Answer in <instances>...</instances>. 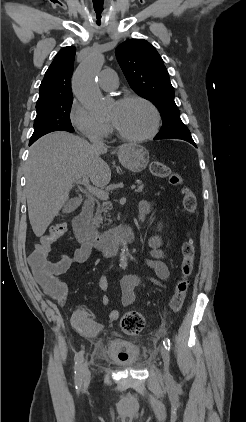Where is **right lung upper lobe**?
<instances>
[{
  "label": "right lung upper lobe",
  "instance_id": "cb5924a9",
  "mask_svg": "<svg viewBox=\"0 0 246 422\" xmlns=\"http://www.w3.org/2000/svg\"><path fill=\"white\" fill-rule=\"evenodd\" d=\"M75 47L61 49L45 73L40 85L36 108L46 106L63 98L73 97L71 76L73 73Z\"/></svg>",
  "mask_w": 246,
  "mask_h": 422
}]
</instances>
